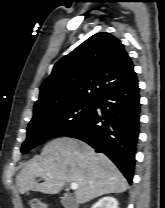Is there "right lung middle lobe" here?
Instances as JSON below:
<instances>
[{
  "mask_svg": "<svg viewBox=\"0 0 165 208\" xmlns=\"http://www.w3.org/2000/svg\"><path fill=\"white\" fill-rule=\"evenodd\" d=\"M97 101L74 100L48 105L34 110L27 129V139L21 152L77 130L95 110Z\"/></svg>",
  "mask_w": 165,
  "mask_h": 208,
  "instance_id": "right-lung-middle-lobe-1",
  "label": "right lung middle lobe"
}]
</instances>
